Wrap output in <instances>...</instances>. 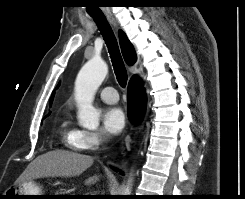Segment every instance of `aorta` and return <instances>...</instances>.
I'll return each instance as SVG.
<instances>
[{
	"label": "aorta",
	"instance_id": "aorta-1",
	"mask_svg": "<svg viewBox=\"0 0 245 199\" xmlns=\"http://www.w3.org/2000/svg\"><path fill=\"white\" fill-rule=\"evenodd\" d=\"M108 73V66L98 58L90 59L79 71L75 82V99L78 107V122L88 129L99 126V111L93 106V97ZM132 178L124 187V195H130Z\"/></svg>",
	"mask_w": 245,
	"mask_h": 199
}]
</instances>
